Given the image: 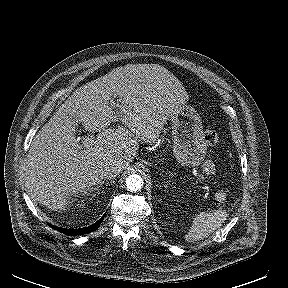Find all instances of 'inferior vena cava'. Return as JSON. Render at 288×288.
<instances>
[{"label": "inferior vena cava", "instance_id": "1", "mask_svg": "<svg viewBox=\"0 0 288 288\" xmlns=\"http://www.w3.org/2000/svg\"><path fill=\"white\" fill-rule=\"evenodd\" d=\"M120 171H122V164L120 162L104 163L97 169L99 177L108 180L115 178Z\"/></svg>", "mask_w": 288, "mask_h": 288}]
</instances>
